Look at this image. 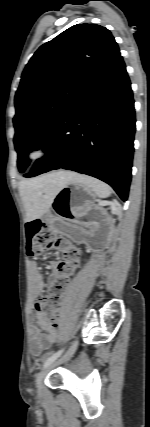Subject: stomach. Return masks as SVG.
Segmentation results:
<instances>
[{
    "mask_svg": "<svg viewBox=\"0 0 150 427\" xmlns=\"http://www.w3.org/2000/svg\"><path fill=\"white\" fill-rule=\"evenodd\" d=\"M95 192L75 179L64 185L53 199L51 208L59 217L75 222L94 204Z\"/></svg>",
    "mask_w": 150,
    "mask_h": 427,
    "instance_id": "1",
    "label": "stomach"
}]
</instances>
